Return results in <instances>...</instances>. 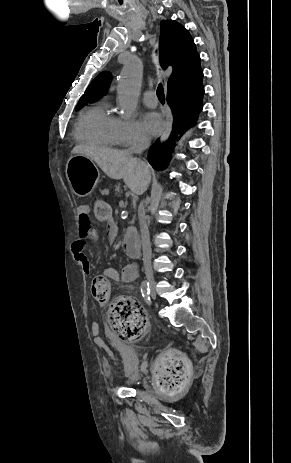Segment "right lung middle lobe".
I'll return each instance as SVG.
<instances>
[{
	"label": "right lung middle lobe",
	"instance_id": "dd1d6c3e",
	"mask_svg": "<svg viewBox=\"0 0 291 463\" xmlns=\"http://www.w3.org/2000/svg\"><path fill=\"white\" fill-rule=\"evenodd\" d=\"M83 104H85V103H79V104L77 105V108H79V107H80L81 105H83Z\"/></svg>",
	"mask_w": 291,
	"mask_h": 463
}]
</instances>
